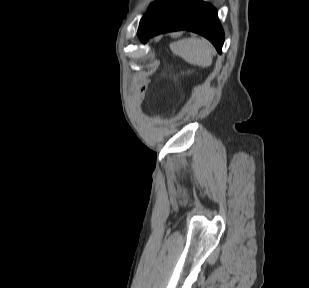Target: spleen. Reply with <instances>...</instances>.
<instances>
[{"label": "spleen", "instance_id": "3e777b00", "mask_svg": "<svg viewBox=\"0 0 309 288\" xmlns=\"http://www.w3.org/2000/svg\"><path fill=\"white\" fill-rule=\"evenodd\" d=\"M175 55L191 65L209 67L212 64V45L205 39L187 38L170 45Z\"/></svg>", "mask_w": 309, "mask_h": 288}]
</instances>
